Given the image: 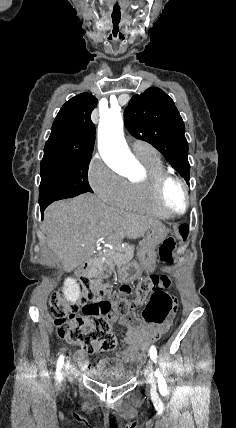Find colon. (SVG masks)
<instances>
[{
  "instance_id": "1",
  "label": "colon",
  "mask_w": 236,
  "mask_h": 428,
  "mask_svg": "<svg viewBox=\"0 0 236 428\" xmlns=\"http://www.w3.org/2000/svg\"><path fill=\"white\" fill-rule=\"evenodd\" d=\"M176 239L167 237L159 248L162 262H174ZM166 275H151L141 280L133 289L122 285L117 292L98 281L79 278L81 296L78 302L65 300L64 291L50 295V309L54 316V325L58 336L67 343L80 347L86 353L110 352L116 347V338L112 331L115 309H129L150 295L142 317L146 324L163 326L174 318L177 302L165 292L170 287ZM81 309L82 315H78Z\"/></svg>"
}]
</instances>
